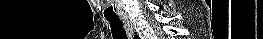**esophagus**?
Here are the masks:
<instances>
[{"mask_svg": "<svg viewBox=\"0 0 263 39\" xmlns=\"http://www.w3.org/2000/svg\"><path fill=\"white\" fill-rule=\"evenodd\" d=\"M122 22H123L124 28H125L128 36H129V38L132 39L134 36V33H135L133 24L131 23V21L127 17H123Z\"/></svg>", "mask_w": 263, "mask_h": 39, "instance_id": "1", "label": "esophagus"}]
</instances>
